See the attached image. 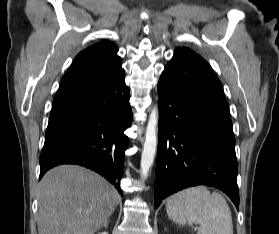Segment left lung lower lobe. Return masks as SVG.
<instances>
[{
	"label": "left lung lower lobe",
	"instance_id": "0a47b994",
	"mask_svg": "<svg viewBox=\"0 0 279 234\" xmlns=\"http://www.w3.org/2000/svg\"><path fill=\"white\" fill-rule=\"evenodd\" d=\"M155 207L181 189L209 185L239 209L235 137L222 85L210 65L177 48L158 82Z\"/></svg>",
	"mask_w": 279,
	"mask_h": 234
}]
</instances>
